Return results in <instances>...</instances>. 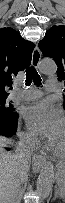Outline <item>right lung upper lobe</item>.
<instances>
[{
    "instance_id": "cb5924a9",
    "label": "right lung upper lobe",
    "mask_w": 65,
    "mask_h": 203,
    "mask_svg": "<svg viewBox=\"0 0 65 203\" xmlns=\"http://www.w3.org/2000/svg\"><path fill=\"white\" fill-rule=\"evenodd\" d=\"M34 44L13 28L0 29V98L7 97L12 79L31 63Z\"/></svg>"
}]
</instances>
